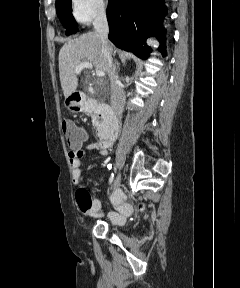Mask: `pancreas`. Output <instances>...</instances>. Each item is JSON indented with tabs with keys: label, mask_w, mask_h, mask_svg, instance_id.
Masks as SVG:
<instances>
[{
	"label": "pancreas",
	"mask_w": 240,
	"mask_h": 288,
	"mask_svg": "<svg viewBox=\"0 0 240 288\" xmlns=\"http://www.w3.org/2000/svg\"><path fill=\"white\" fill-rule=\"evenodd\" d=\"M92 117H93V118H97V117H98V115H97V114H95V113H93V114H92Z\"/></svg>",
	"instance_id": "1"
}]
</instances>
